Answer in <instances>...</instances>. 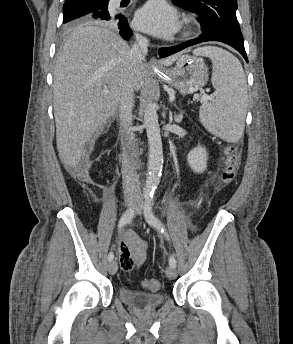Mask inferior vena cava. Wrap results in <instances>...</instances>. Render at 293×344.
Listing matches in <instances>:
<instances>
[{"label": "inferior vena cava", "instance_id": "602c4592", "mask_svg": "<svg viewBox=\"0 0 293 344\" xmlns=\"http://www.w3.org/2000/svg\"><path fill=\"white\" fill-rule=\"evenodd\" d=\"M149 41L146 37L136 34V40L130 50V67L125 73L122 81L119 116L121 120L122 136V178L125 197L139 198L141 189L139 182L136 181L135 161L133 158V147L131 134L127 126L132 120V110L134 106V86L135 76L139 71L142 61L148 52Z\"/></svg>", "mask_w": 293, "mask_h": 344}]
</instances>
